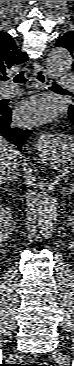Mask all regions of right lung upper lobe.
I'll list each match as a JSON object with an SVG mask.
<instances>
[{
	"instance_id": "obj_1",
	"label": "right lung upper lobe",
	"mask_w": 74,
	"mask_h": 366,
	"mask_svg": "<svg viewBox=\"0 0 74 366\" xmlns=\"http://www.w3.org/2000/svg\"><path fill=\"white\" fill-rule=\"evenodd\" d=\"M27 60L26 53L18 49L11 35L0 31V81L6 77L11 67Z\"/></svg>"
}]
</instances>
